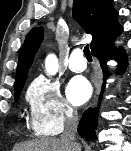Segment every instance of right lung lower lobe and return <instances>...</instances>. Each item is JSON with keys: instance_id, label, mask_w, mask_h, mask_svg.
<instances>
[{"instance_id": "98d812e1", "label": "right lung lower lobe", "mask_w": 131, "mask_h": 151, "mask_svg": "<svg viewBox=\"0 0 131 151\" xmlns=\"http://www.w3.org/2000/svg\"><path fill=\"white\" fill-rule=\"evenodd\" d=\"M121 31L118 32L109 40H107L106 42L98 45L92 50V55L98 58L104 74V83L99 98L102 97V93L105 87V80L107 79L109 74L106 67V62L112 58H116L119 64V67L117 69L118 73L124 71L126 69V66L128 65L124 49L120 48L117 50L113 46V42L116 36L119 35ZM97 115H98V110L92 111L91 109H89L88 111L84 112L80 120V123L78 125V133L83 138L96 139L95 129L97 127Z\"/></svg>"}]
</instances>
